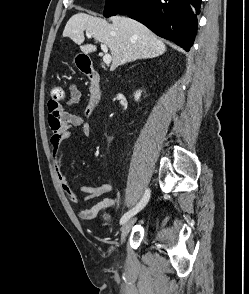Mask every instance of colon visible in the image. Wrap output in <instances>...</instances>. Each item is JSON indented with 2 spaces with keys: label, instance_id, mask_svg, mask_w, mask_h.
Wrapping results in <instances>:
<instances>
[{
  "label": "colon",
  "instance_id": "1",
  "mask_svg": "<svg viewBox=\"0 0 249 294\" xmlns=\"http://www.w3.org/2000/svg\"><path fill=\"white\" fill-rule=\"evenodd\" d=\"M64 99V90L63 88L57 84L54 83L51 87V99L49 102L57 105Z\"/></svg>",
  "mask_w": 249,
  "mask_h": 294
}]
</instances>
